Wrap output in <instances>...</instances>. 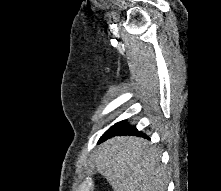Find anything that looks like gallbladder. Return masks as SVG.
Listing matches in <instances>:
<instances>
[{"instance_id":"1","label":"gallbladder","mask_w":221,"mask_h":191,"mask_svg":"<svg viewBox=\"0 0 221 191\" xmlns=\"http://www.w3.org/2000/svg\"><path fill=\"white\" fill-rule=\"evenodd\" d=\"M96 173V170L94 169V168H92L91 170H90V174H95Z\"/></svg>"}]
</instances>
